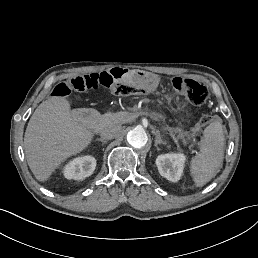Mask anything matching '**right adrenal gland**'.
<instances>
[{
  "label": "right adrenal gland",
  "instance_id": "2a0ac1e0",
  "mask_svg": "<svg viewBox=\"0 0 258 258\" xmlns=\"http://www.w3.org/2000/svg\"><path fill=\"white\" fill-rule=\"evenodd\" d=\"M96 140L102 142V145L107 143V141L103 138H98Z\"/></svg>",
  "mask_w": 258,
  "mask_h": 258
}]
</instances>
